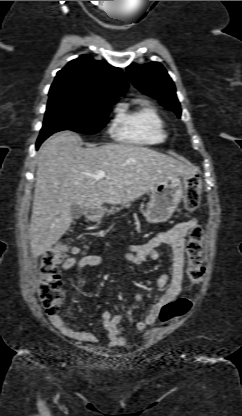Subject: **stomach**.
<instances>
[{
  "instance_id": "1",
  "label": "stomach",
  "mask_w": 242,
  "mask_h": 416,
  "mask_svg": "<svg viewBox=\"0 0 242 416\" xmlns=\"http://www.w3.org/2000/svg\"><path fill=\"white\" fill-rule=\"evenodd\" d=\"M186 179V176H169L152 187L150 201L145 211L148 222L161 223L172 216L183 197ZM102 217L103 211L99 210L89 218L100 222Z\"/></svg>"
}]
</instances>
